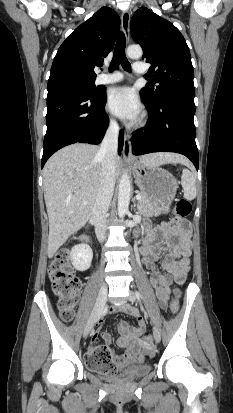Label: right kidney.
<instances>
[{
    "mask_svg": "<svg viewBox=\"0 0 233 413\" xmlns=\"http://www.w3.org/2000/svg\"><path fill=\"white\" fill-rule=\"evenodd\" d=\"M70 258L76 270L85 271L91 265L93 251L87 244H78L72 247Z\"/></svg>",
    "mask_w": 233,
    "mask_h": 413,
    "instance_id": "1",
    "label": "right kidney"
}]
</instances>
